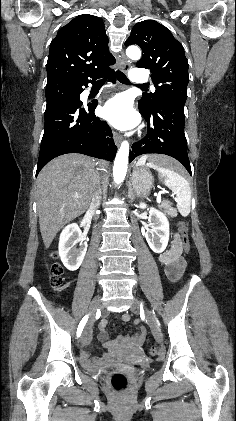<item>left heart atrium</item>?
Wrapping results in <instances>:
<instances>
[{"label": "left heart atrium", "instance_id": "39dd6f15", "mask_svg": "<svg viewBox=\"0 0 236 421\" xmlns=\"http://www.w3.org/2000/svg\"><path fill=\"white\" fill-rule=\"evenodd\" d=\"M101 116L113 127L127 129L137 125L138 116L127 98L117 95L110 98L101 109Z\"/></svg>", "mask_w": 236, "mask_h": 421}]
</instances>
